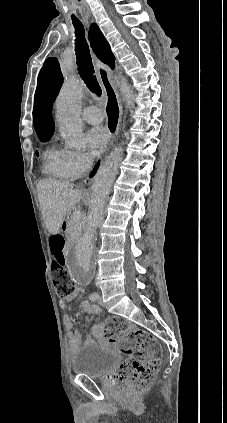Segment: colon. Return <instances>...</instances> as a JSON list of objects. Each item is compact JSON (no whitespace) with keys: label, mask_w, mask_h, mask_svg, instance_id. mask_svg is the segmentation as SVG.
Returning a JSON list of instances; mask_svg holds the SVG:
<instances>
[{"label":"colon","mask_w":227,"mask_h":423,"mask_svg":"<svg viewBox=\"0 0 227 423\" xmlns=\"http://www.w3.org/2000/svg\"><path fill=\"white\" fill-rule=\"evenodd\" d=\"M50 247L54 284L62 297H68L75 293L76 288L66 270L64 237L53 235ZM107 323L111 328L110 334L120 338L122 351L128 355L118 371L123 390L130 395L145 391L152 384L161 364L159 342L147 331L132 327L118 318H110Z\"/></svg>","instance_id":"1"}]
</instances>
